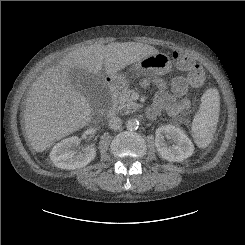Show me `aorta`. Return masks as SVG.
Wrapping results in <instances>:
<instances>
[{
    "mask_svg": "<svg viewBox=\"0 0 245 245\" xmlns=\"http://www.w3.org/2000/svg\"><path fill=\"white\" fill-rule=\"evenodd\" d=\"M126 127L128 130H136L139 127V121L134 118H130L126 121Z\"/></svg>",
    "mask_w": 245,
    "mask_h": 245,
    "instance_id": "762f6f07",
    "label": "aorta"
}]
</instances>
